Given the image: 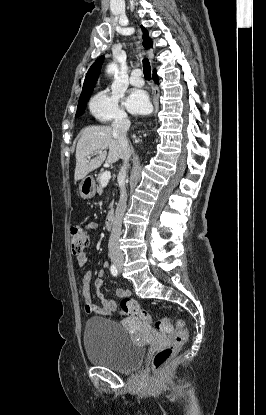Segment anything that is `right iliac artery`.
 I'll return each instance as SVG.
<instances>
[{
	"instance_id": "82829eb1",
	"label": "right iliac artery",
	"mask_w": 266,
	"mask_h": 415,
	"mask_svg": "<svg viewBox=\"0 0 266 415\" xmlns=\"http://www.w3.org/2000/svg\"><path fill=\"white\" fill-rule=\"evenodd\" d=\"M110 271H111V274L113 275V276H117L118 275V270H117V268H116V266L115 265H111V267H110Z\"/></svg>"
}]
</instances>
